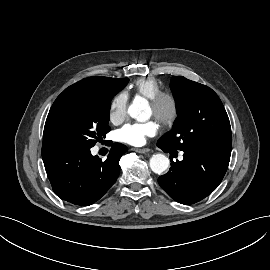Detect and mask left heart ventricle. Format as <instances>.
<instances>
[{
  "mask_svg": "<svg viewBox=\"0 0 270 270\" xmlns=\"http://www.w3.org/2000/svg\"><path fill=\"white\" fill-rule=\"evenodd\" d=\"M149 113H150V114H153V110H152L151 105L149 106Z\"/></svg>",
  "mask_w": 270,
  "mask_h": 270,
  "instance_id": "1",
  "label": "left heart ventricle"
}]
</instances>
